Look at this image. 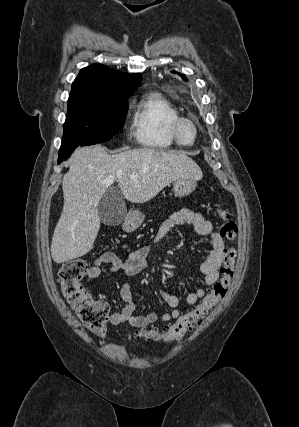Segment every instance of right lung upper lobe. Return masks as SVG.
<instances>
[{
	"mask_svg": "<svg viewBox=\"0 0 299 427\" xmlns=\"http://www.w3.org/2000/svg\"><path fill=\"white\" fill-rule=\"evenodd\" d=\"M141 79L140 74H124L101 64H93L81 69L72 84L68 100L130 96Z\"/></svg>",
	"mask_w": 299,
	"mask_h": 427,
	"instance_id": "right-lung-upper-lobe-1",
	"label": "right lung upper lobe"
}]
</instances>
